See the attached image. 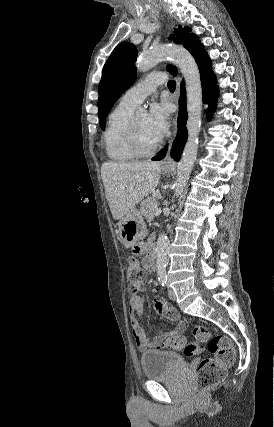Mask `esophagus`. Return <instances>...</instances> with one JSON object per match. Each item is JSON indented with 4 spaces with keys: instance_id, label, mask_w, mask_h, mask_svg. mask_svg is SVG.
Returning <instances> with one entry per match:
<instances>
[{
    "instance_id": "obj_1",
    "label": "esophagus",
    "mask_w": 274,
    "mask_h": 427,
    "mask_svg": "<svg viewBox=\"0 0 274 427\" xmlns=\"http://www.w3.org/2000/svg\"><path fill=\"white\" fill-rule=\"evenodd\" d=\"M179 82H180V78H178V83H179ZM177 91H179V87H178ZM173 123H174L173 137H172V139L169 141V150H168V152H167V154H166L165 158L161 161V167H162V168H164V167H169V166L173 163V161H172V159H171V156H170V148H171V145H172L173 139H174V137H175V135H176V124H177V118H174Z\"/></svg>"
}]
</instances>
